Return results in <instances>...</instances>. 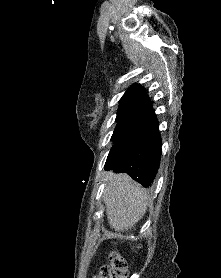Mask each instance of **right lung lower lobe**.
<instances>
[{
  "instance_id": "1",
  "label": "right lung lower lobe",
  "mask_w": 221,
  "mask_h": 278,
  "mask_svg": "<svg viewBox=\"0 0 221 278\" xmlns=\"http://www.w3.org/2000/svg\"><path fill=\"white\" fill-rule=\"evenodd\" d=\"M148 105L151 106V102ZM161 151L158 120L153 114L131 138L109 153L105 168L127 173L148 187L157 174Z\"/></svg>"
}]
</instances>
